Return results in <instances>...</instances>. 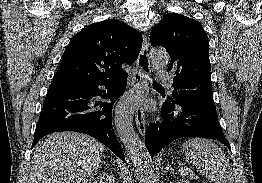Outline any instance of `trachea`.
Here are the masks:
<instances>
[{"label":"trachea","instance_id":"1","mask_svg":"<svg viewBox=\"0 0 262 183\" xmlns=\"http://www.w3.org/2000/svg\"><path fill=\"white\" fill-rule=\"evenodd\" d=\"M153 85H160V84L154 81V82H153Z\"/></svg>","mask_w":262,"mask_h":183}]
</instances>
